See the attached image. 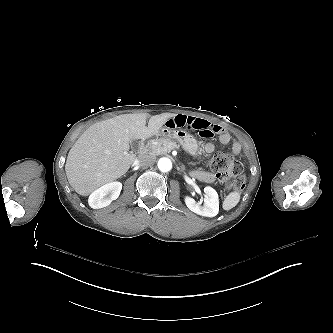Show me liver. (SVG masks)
<instances>
[{
    "instance_id": "obj_1",
    "label": "liver",
    "mask_w": 333,
    "mask_h": 333,
    "mask_svg": "<svg viewBox=\"0 0 333 333\" xmlns=\"http://www.w3.org/2000/svg\"><path fill=\"white\" fill-rule=\"evenodd\" d=\"M174 113L151 116L147 113L123 114L91 125L70 149L65 171L74 190L88 196L100 186L124 175L136 155L129 143L155 135Z\"/></svg>"
}]
</instances>
